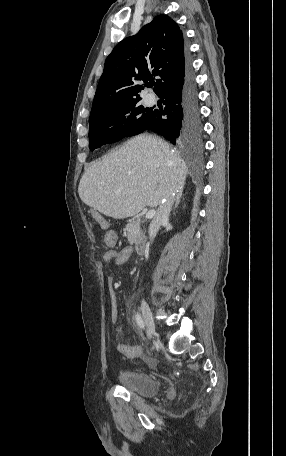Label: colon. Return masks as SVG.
<instances>
[{
    "label": "colon",
    "mask_w": 286,
    "mask_h": 456,
    "mask_svg": "<svg viewBox=\"0 0 286 456\" xmlns=\"http://www.w3.org/2000/svg\"><path fill=\"white\" fill-rule=\"evenodd\" d=\"M148 362H149L151 365L154 364V362H153L152 360H148Z\"/></svg>",
    "instance_id": "colon-1"
}]
</instances>
